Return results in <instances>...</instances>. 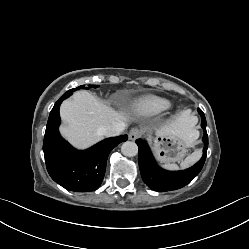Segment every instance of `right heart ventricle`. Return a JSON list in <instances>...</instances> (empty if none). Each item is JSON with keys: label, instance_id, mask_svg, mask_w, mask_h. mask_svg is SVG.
Instances as JSON below:
<instances>
[{"label": "right heart ventricle", "instance_id": "1", "mask_svg": "<svg viewBox=\"0 0 249 249\" xmlns=\"http://www.w3.org/2000/svg\"><path fill=\"white\" fill-rule=\"evenodd\" d=\"M134 106L137 110L144 114L154 115L169 108L170 102L155 95H147L138 99L134 103Z\"/></svg>", "mask_w": 249, "mask_h": 249}]
</instances>
